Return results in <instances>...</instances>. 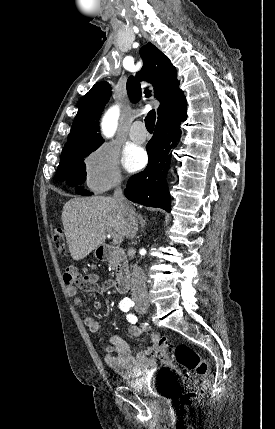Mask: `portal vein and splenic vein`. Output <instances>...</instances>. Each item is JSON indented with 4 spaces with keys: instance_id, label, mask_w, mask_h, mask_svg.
Segmentation results:
<instances>
[{
    "instance_id": "portal-vein-and-splenic-vein-1",
    "label": "portal vein and splenic vein",
    "mask_w": 275,
    "mask_h": 429,
    "mask_svg": "<svg viewBox=\"0 0 275 429\" xmlns=\"http://www.w3.org/2000/svg\"><path fill=\"white\" fill-rule=\"evenodd\" d=\"M107 230H109V229H107ZM111 234H112V237H113L114 244H120L122 242V238H121L120 235L113 234V233H111Z\"/></svg>"
}]
</instances>
